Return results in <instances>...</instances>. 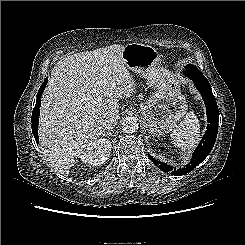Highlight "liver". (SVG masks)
Instances as JSON below:
<instances>
[{"mask_svg":"<svg viewBox=\"0 0 245 245\" xmlns=\"http://www.w3.org/2000/svg\"><path fill=\"white\" fill-rule=\"evenodd\" d=\"M124 48L114 44L75 53L58 61L51 72L41 101L40 149L62 175L103 136L102 120L119 117V98L134 93L122 59Z\"/></svg>","mask_w":245,"mask_h":245,"instance_id":"obj_1","label":"liver"}]
</instances>
